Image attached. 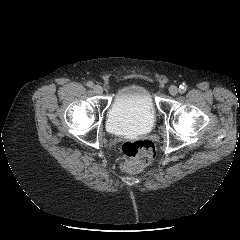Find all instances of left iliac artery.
<instances>
[{
  "instance_id": "44dca946",
  "label": "left iliac artery",
  "mask_w": 240,
  "mask_h": 240,
  "mask_svg": "<svg viewBox=\"0 0 240 240\" xmlns=\"http://www.w3.org/2000/svg\"><path fill=\"white\" fill-rule=\"evenodd\" d=\"M179 88H180V92L183 93L186 90V85L185 84L180 85Z\"/></svg>"
}]
</instances>
